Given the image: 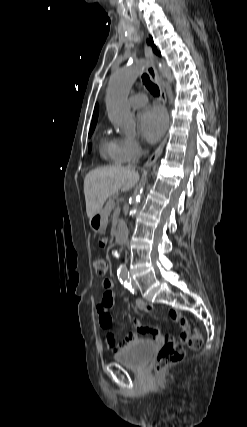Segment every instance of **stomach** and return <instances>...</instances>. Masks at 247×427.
Masks as SVG:
<instances>
[{
    "instance_id": "obj_1",
    "label": "stomach",
    "mask_w": 247,
    "mask_h": 427,
    "mask_svg": "<svg viewBox=\"0 0 247 427\" xmlns=\"http://www.w3.org/2000/svg\"><path fill=\"white\" fill-rule=\"evenodd\" d=\"M108 216L101 210L90 219V226L96 233H101L106 229Z\"/></svg>"
}]
</instances>
